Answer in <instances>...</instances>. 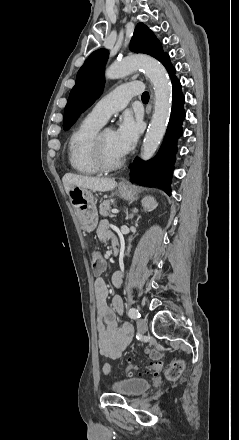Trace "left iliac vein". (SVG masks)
Here are the masks:
<instances>
[{"label": "left iliac vein", "instance_id": "left-iliac-vein-1", "mask_svg": "<svg viewBox=\"0 0 239 440\" xmlns=\"http://www.w3.org/2000/svg\"><path fill=\"white\" fill-rule=\"evenodd\" d=\"M137 326L140 333L144 334L147 331V322L145 319L143 318L138 319Z\"/></svg>", "mask_w": 239, "mask_h": 440}]
</instances>
